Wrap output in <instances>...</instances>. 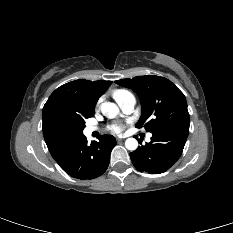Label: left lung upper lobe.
<instances>
[{
  "label": "left lung upper lobe",
  "instance_id": "1",
  "mask_svg": "<svg viewBox=\"0 0 233 233\" xmlns=\"http://www.w3.org/2000/svg\"><path fill=\"white\" fill-rule=\"evenodd\" d=\"M116 83L132 89L140 98L142 115L136 127H145L151 133L178 126L189 127L186 98L170 80L146 75Z\"/></svg>",
  "mask_w": 233,
  "mask_h": 233
}]
</instances>
